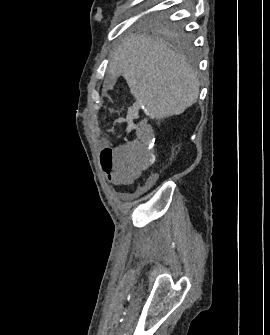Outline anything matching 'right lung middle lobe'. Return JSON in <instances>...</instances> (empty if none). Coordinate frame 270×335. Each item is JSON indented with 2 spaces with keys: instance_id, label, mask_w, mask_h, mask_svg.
<instances>
[{
  "instance_id": "1",
  "label": "right lung middle lobe",
  "mask_w": 270,
  "mask_h": 335,
  "mask_svg": "<svg viewBox=\"0 0 270 335\" xmlns=\"http://www.w3.org/2000/svg\"><path fill=\"white\" fill-rule=\"evenodd\" d=\"M168 16L169 14L167 12H158L156 14L147 13L144 15L145 19H147L151 24L164 28L169 37L174 41L180 45L187 44L189 42V37L184 34L182 26L169 22Z\"/></svg>"
}]
</instances>
